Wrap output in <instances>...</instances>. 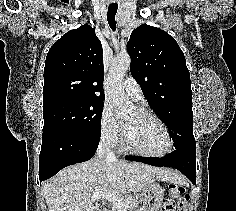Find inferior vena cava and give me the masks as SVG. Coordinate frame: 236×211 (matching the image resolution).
Segmentation results:
<instances>
[{"label":"inferior vena cava","instance_id":"602c4592","mask_svg":"<svg viewBox=\"0 0 236 211\" xmlns=\"http://www.w3.org/2000/svg\"><path fill=\"white\" fill-rule=\"evenodd\" d=\"M96 154L98 160H116L115 154L111 149V141L106 137L101 138Z\"/></svg>","mask_w":236,"mask_h":211}]
</instances>
